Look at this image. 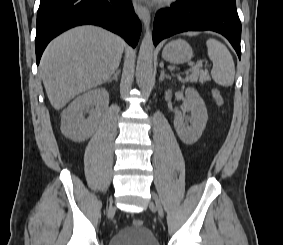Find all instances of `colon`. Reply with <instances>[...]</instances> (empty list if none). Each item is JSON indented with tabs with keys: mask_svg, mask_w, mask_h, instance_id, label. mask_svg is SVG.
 <instances>
[{
	"mask_svg": "<svg viewBox=\"0 0 283 245\" xmlns=\"http://www.w3.org/2000/svg\"><path fill=\"white\" fill-rule=\"evenodd\" d=\"M213 97H214L216 103H217L219 106H223L224 100H223V97H222V95H221V93H220L219 91L215 90V91L213 92ZM133 225H134V226H142V225H143V221H142L141 219H139V218H135V219L133 220Z\"/></svg>",
	"mask_w": 283,
	"mask_h": 245,
	"instance_id": "5ec220e1",
	"label": "colon"
}]
</instances>
